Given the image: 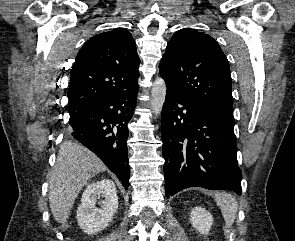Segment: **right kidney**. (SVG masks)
<instances>
[{
    "instance_id": "ca27d5eb",
    "label": "right kidney",
    "mask_w": 295,
    "mask_h": 241,
    "mask_svg": "<svg viewBox=\"0 0 295 241\" xmlns=\"http://www.w3.org/2000/svg\"><path fill=\"white\" fill-rule=\"evenodd\" d=\"M98 204L100 208L95 205ZM118 209L116 186L110 179H102L87 186L77 210V222L87 234L105 229Z\"/></svg>"
}]
</instances>
